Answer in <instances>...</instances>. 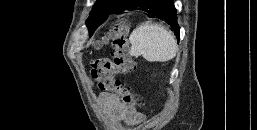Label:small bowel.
<instances>
[{
	"label": "small bowel",
	"mask_w": 257,
	"mask_h": 130,
	"mask_svg": "<svg viewBox=\"0 0 257 130\" xmlns=\"http://www.w3.org/2000/svg\"><path fill=\"white\" fill-rule=\"evenodd\" d=\"M101 100L109 106L119 120L125 121L128 124H136L142 119V116L134 108L118 104L114 97L108 94L101 95Z\"/></svg>",
	"instance_id": "obj_1"
}]
</instances>
